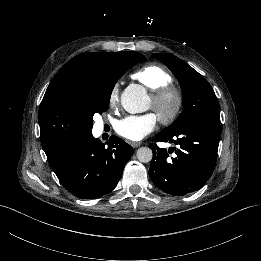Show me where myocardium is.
I'll use <instances>...</instances> for the list:
<instances>
[{"mask_svg":"<svg viewBox=\"0 0 261 261\" xmlns=\"http://www.w3.org/2000/svg\"><path fill=\"white\" fill-rule=\"evenodd\" d=\"M151 108L162 124H171L180 114L183 107V95L179 88L167 84L153 92L150 96ZM166 102H171L164 108Z\"/></svg>","mask_w":261,"mask_h":261,"instance_id":"f54148a6","label":"myocardium"}]
</instances>
